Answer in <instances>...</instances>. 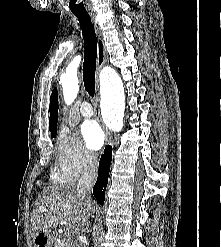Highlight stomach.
Returning <instances> with one entry per match:
<instances>
[{
    "mask_svg": "<svg viewBox=\"0 0 221 247\" xmlns=\"http://www.w3.org/2000/svg\"><path fill=\"white\" fill-rule=\"evenodd\" d=\"M54 242V234L51 231L38 232L33 238L34 247H51Z\"/></svg>",
    "mask_w": 221,
    "mask_h": 247,
    "instance_id": "obj_1",
    "label": "stomach"
}]
</instances>
